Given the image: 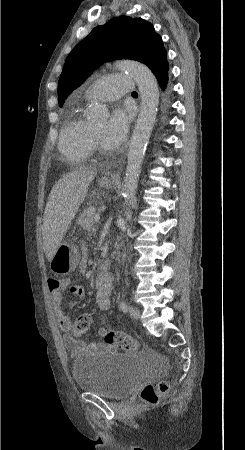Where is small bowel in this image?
<instances>
[{
  "label": "small bowel",
  "mask_w": 245,
  "mask_h": 450,
  "mask_svg": "<svg viewBox=\"0 0 245 450\" xmlns=\"http://www.w3.org/2000/svg\"><path fill=\"white\" fill-rule=\"evenodd\" d=\"M68 291L73 296L84 298L87 296L85 288L79 285H71L70 279H66L62 286L58 289H52L51 307L56 317L57 323L64 333L65 346L70 352L72 358H76L82 353H91L97 349H110V346L104 342H96L94 339L78 340L71 335V321L66 314L63 302L62 293ZM96 290V307L100 310H108L111 307V294L113 291V276L111 273H101L95 282ZM106 333L104 328H100L97 332L98 336H103Z\"/></svg>",
  "instance_id": "obj_1"
}]
</instances>
